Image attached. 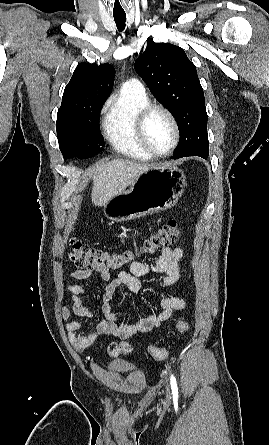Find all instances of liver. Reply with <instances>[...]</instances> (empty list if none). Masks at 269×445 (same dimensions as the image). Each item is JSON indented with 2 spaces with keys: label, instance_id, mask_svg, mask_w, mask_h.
I'll list each match as a JSON object with an SVG mask.
<instances>
[{
  "label": "liver",
  "instance_id": "obj_1",
  "mask_svg": "<svg viewBox=\"0 0 269 445\" xmlns=\"http://www.w3.org/2000/svg\"><path fill=\"white\" fill-rule=\"evenodd\" d=\"M153 166V164H141L136 161L123 159L99 164L94 169L91 192L93 204L95 206H104L113 197L123 193L139 175Z\"/></svg>",
  "mask_w": 269,
  "mask_h": 445
}]
</instances>
